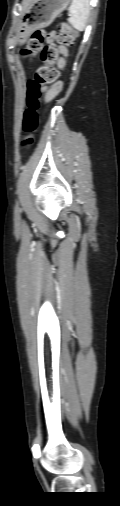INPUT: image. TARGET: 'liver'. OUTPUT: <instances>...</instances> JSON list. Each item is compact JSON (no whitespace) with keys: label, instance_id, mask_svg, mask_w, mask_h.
Wrapping results in <instances>:
<instances>
[{"label":"liver","instance_id":"liver-1","mask_svg":"<svg viewBox=\"0 0 120 506\" xmlns=\"http://www.w3.org/2000/svg\"><path fill=\"white\" fill-rule=\"evenodd\" d=\"M31 2H32V0H24L23 1V6L27 7Z\"/></svg>","mask_w":120,"mask_h":506}]
</instances>
